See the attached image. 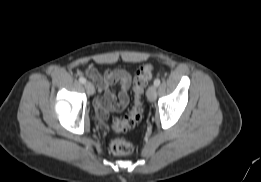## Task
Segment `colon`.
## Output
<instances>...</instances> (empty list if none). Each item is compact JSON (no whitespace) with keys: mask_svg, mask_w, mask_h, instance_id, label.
I'll return each mask as SVG.
<instances>
[{"mask_svg":"<svg viewBox=\"0 0 261 182\" xmlns=\"http://www.w3.org/2000/svg\"><path fill=\"white\" fill-rule=\"evenodd\" d=\"M154 67L144 64L138 68L133 80V104L128 113L122 118L115 119L112 128L116 132H125L134 128L143 117V93L152 78ZM109 150L115 155H129L133 152V145L126 140L113 138L109 142Z\"/></svg>","mask_w":261,"mask_h":182,"instance_id":"obj_1","label":"colon"}]
</instances>
